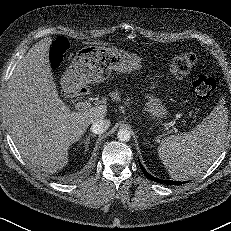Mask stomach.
<instances>
[{
    "instance_id": "1",
    "label": "stomach",
    "mask_w": 231,
    "mask_h": 231,
    "mask_svg": "<svg viewBox=\"0 0 231 231\" xmlns=\"http://www.w3.org/2000/svg\"><path fill=\"white\" fill-rule=\"evenodd\" d=\"M142 59L134 53L117 48L90 46L80 49L63 75L67 86L100 83L106 80L112 70L118 72L139 71ZM146 111L154 119H163L168 111L159 98L148 96Z\"/></svg>"
}]
</instances>
